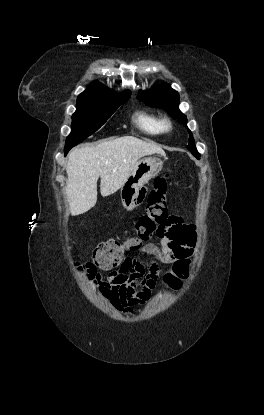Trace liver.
Instances as JSON below:
<instances>
[{"instance_id": "1", "label": "liver", "mask_w": 264, "mask_h": 415, "mask_svg": "<svg viewBox=\"0 0 264 415\" xmlns=\"http://www.w3.org/2000/svg\"><path fill=\"white\" fill-rule=\"evenodd\" d=\"M155 153L165 154L158 145L133 136L74 148L66 166L70 213L80 215L95 206L99 177L101 195L107 197L123 186L140 158Z\"/></svg>"}]
</instances>
